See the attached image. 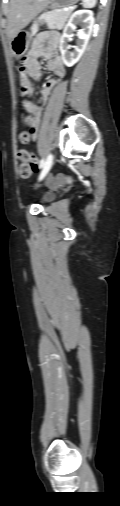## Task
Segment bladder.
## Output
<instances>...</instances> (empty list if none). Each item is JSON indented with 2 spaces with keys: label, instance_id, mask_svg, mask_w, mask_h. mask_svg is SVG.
<instances>
[{
  "label": "bladder",
  "instance_id": "bladder-1",
  "mask_svg": "<svg viewBox=\"0 0 120 506\" xmlns=\"http://www.w3.org/2000/svg\"><path fill=\"white\" fill-rule=\"evenodd\" d=\"M55 198V193L52 191H47L43 194V201L49 202Z\"/></svg>",
  "mask_w": 120,
  "mask_h": 506
}]
</instances>
